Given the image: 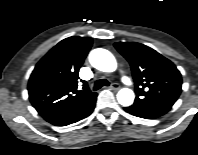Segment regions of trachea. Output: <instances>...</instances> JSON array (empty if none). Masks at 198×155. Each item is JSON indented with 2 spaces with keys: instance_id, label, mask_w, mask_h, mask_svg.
<instances>
[{
  "instance_id": "1",
  "label": "trachea",
  "mask_w": 198,
  "mask_h": 155,
  "mask_svg": "<svg viewBox=\"0 0 198 155\" xmlns=\"http://www.w3.org/2000/svg\"><path fill=\"white\" fill-rule=\"evenodd\" d=\"M109 81L108 80H106V79H100V80H97L96 82H95V84H94V88H93V90H98V89H100L101 87H103V86H109Z\"/></svg>"
}]
</instances>
